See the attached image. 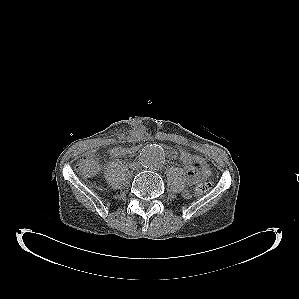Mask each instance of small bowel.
<instances>
[{
	"instance_id": "1",
	"label": "small bowel",
	"mask_w": 299,
	"mask_h": 299,
	"mask_svg": "<svg viewBox=\"0 0 299 299\" xmlns=\"http://www.w3.org/2000/svg\"><path fill=\"white\" fill-rule=\"evenodd\" d=\"M138 146L130 147H115L110 150V155L114 157L132 155L138 151ZM188 182L190 184H195L201 179H204L208 174V169L205 163L197 157V161L193 166L187 167Z\"/></svg>"
}]
</instances>
